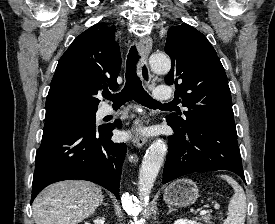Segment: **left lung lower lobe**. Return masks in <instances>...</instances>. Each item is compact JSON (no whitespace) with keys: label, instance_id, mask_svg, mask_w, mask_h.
<instances>
[{"label":"left lung lower lobe","instance_id":"1","mask_svg":"<svg viewBox=\"0 0 275 224\" xmlns=\"http://www.w3.org/2000/svg\"><path fill=\"white\" fill-rule=\"evenodd\" d=\"M174 135L169 136L168 155L162 183L183 175L200 172L229 170L245 182L236 129L197 123L182 129L168 121Z\"/></svg>","mask_w":275,"mask_h":224}]
</instances>
